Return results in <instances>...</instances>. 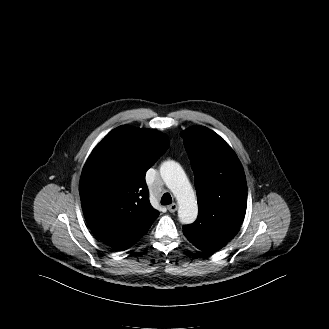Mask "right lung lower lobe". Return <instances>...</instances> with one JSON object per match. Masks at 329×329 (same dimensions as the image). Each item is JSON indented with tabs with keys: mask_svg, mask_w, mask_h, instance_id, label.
<instances>
[{
	"mask_svg": "<svg viewBox=\"0 0 329 329\" xmlns=\"http://www.w3.org/2000/svg\"><path fill=\"white\" fill-rule=\"evenodd\" d=\"M127 248H129V247H126V248H119V249H115L116 251H121V250H125V249H127Z\"/></svg>",
	"mask_w": 329,
	"mask_h": 329,
	"instance_id": "1",
	"label": "right lung lower lobe"
}]
</instances>
